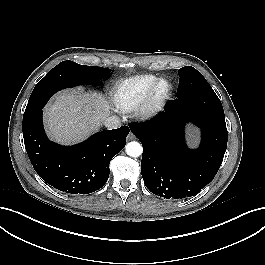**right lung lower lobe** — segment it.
<instances>
[{
  "label": "right lung lower lobe",
  "instance_id": "right-lung-lower-lobe-1",
  "mask_svg": "<svg viewBox=\"0 0 265 265\" xmlns=\"http://www.w3.org/2000/svg\"><path fill=\"white\" fill-rule=\"evenodd\" d=\"M23 137L30 161L49 185L69 194H88L108 180L109 163L126 144L127 126L101 131L74 146L50 141L43 129L42 108L23 119Z\"/></svg>",
  "mask_w": 265,
  "mask_h": 265
}]
</instances>
